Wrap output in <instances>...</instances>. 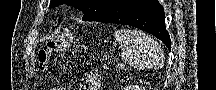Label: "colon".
I'll use <instances>...</instances> for the list:
<instances>
[{
  "instance_id": "5ec220e1",
  "label": "colon",
  "mask_w": 216,
  "mask_h": 90,
  "mask_svg": "<svg viewBox=\"0 0 216 90\" xmlns=\"http://www.w3.org/2000/svg\"><path fill=\"white\" fill-rule=\"evenodd\" d=\"M71 42V37L68 33H63L55 40L49 41L43 46L38 53L39 69L43 74L49 70L51 57L56 53L62 52L68 48Z\"/></svg>"
}]
</instances>
